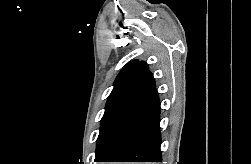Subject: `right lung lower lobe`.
Here are the masks:
<instances>
[{
  "mask_svg": "<svg viewBox=\"0 0 251 164\" xmlns=\"http://www.w3.org/2000/svg\"><path fill=\"white\" fill-rule=\"evenodd\" d=\"M160 102L154 88L142 92L116 120L96 150L95 162H161Z\"/></svg>",
  "mask_w": 251,
  "mask_h": 164,
  "instance_id": "obj_1",
  "label": "right lung lower lobe"
}]
</instances>
